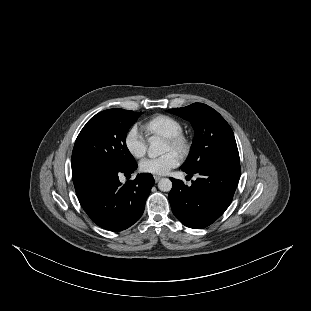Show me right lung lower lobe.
<instances>
[{
    "mask_svg": "<svg viewBox=\"0 0 311 311\" xmlns=\"http://www.w3.org/2000/svg\"><path fill=\"white\" fill-rule=\"evenodd\" d=\"M103 164H85L72 170L79 202L87 215L100 227L118 232L133 225L142 216L145 202L155 181L149 173L138 174L122 185L118 174L133 173Z\"/></svg>",
    "mask_w": 311,
    "mask_h": 311,
    "instance_id": "98d812e1",
    "label": "right lung lower lobe"
}]
</instances>
